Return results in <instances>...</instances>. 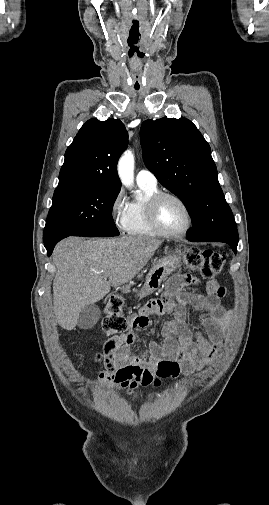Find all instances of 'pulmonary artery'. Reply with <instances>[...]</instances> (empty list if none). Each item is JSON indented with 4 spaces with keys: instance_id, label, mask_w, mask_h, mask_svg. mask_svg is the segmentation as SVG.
<instances>
[{
    "instance_id": "obj_1",
    "label": "pulmonary artery",
    "mask_w": 269,
    "mask_h": 505,
    "mask_svg": "<svg viewBox=\"0 0 269 505\" xmlns=\"http://www.w3.org/2000/svg\"><path fill=\"white\" fill-rule=\"evenodd\" d=\"M136 180L138 184L157 186V178L151 171L147 169H141L136 175Z\"/></svg>"
}]
</instances>
